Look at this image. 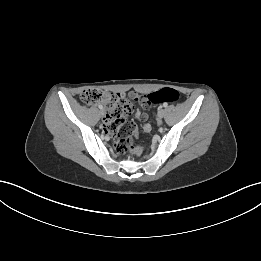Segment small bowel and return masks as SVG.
<instances>
[{
	"instance_id": "small-bowel-1",
	"label": "small bowel",
	"mask_w": 261,
	"mask_h": 261,
	"mask_svg": "<svg viewBox=\"0 0 261 261\" xmlns=\"http://www.w3.org/2000/svg\"><path fill=\"white\" fill-rule=\"evenodd\" d=\"M130 97L134 98L135 101L141 103L142 106H147L149 105L151 102L148 101L147 96L145 95H139L137 92L132 91L129 93ZM136 117L141 120V121H145L148 117L147 113L144 110H138L136 112ZM106 122V118H104V123ZM144 131H150V125L149 124H144L143 126Z\"/></svg>"
}]
</instances>
